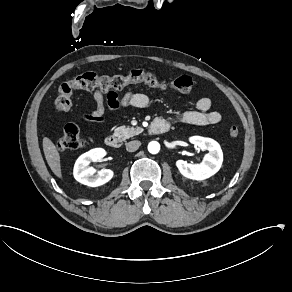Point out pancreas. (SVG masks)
Here are the masks:
<instances>
[{
	"label": "pancreas",
	"instance_id": "pancreas-1",
	"mask_svg": "<svg viewBox=\"0 0 292 292\" xmlns=\"http://www.w3.org/2000/svg\"><path fill=\"white\" fill-rule=\"evenodd\" d=\"M142 132L140 127H131V126H119L114 131V136L118 137L121 140H126L133 136L138 135Z\"/></svg>",
	"mask_w": 292,
	"mask_h": 292
}]
</instances>
